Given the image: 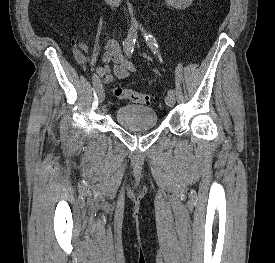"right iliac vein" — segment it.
<instances>
[{
	"mask_svg": "<svg viewBox=\"0 0 275 263\" xmlns=\"http://www.w3.org/2000/svg\"><path fill=\"white\" fill-rule=\"evenodd\" d=\"M97 93H98V99L100 102H102L105 98V91H104V88L102 86H100L98 89H97Z\"/></svg>",
	"mask_w": 275,
	"mask_h": 263,
	"instance_id": "63e3f726",
	"label": "right iliac vein"
}]
</instances>
